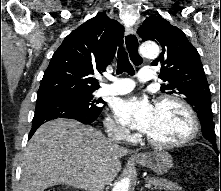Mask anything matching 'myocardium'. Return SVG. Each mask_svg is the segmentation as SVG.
Returning <instances> with one entry per match:
<instances>
[{"label": "myocardium", "instance_id": "f54148a6", "mask_svg": "<svg viewBox=\"0 0 221 191\" xmlns=\"http://www.w3.org/2000/svg\"><path fill=\"white\" fill-rule=\"evenodd\" d=\"M165 102H171L178 106H180L187 114L189 121H190V129L189 132L182 137L181 139L175 140V141H160L156 140L149 135L146 134V140L153 146L162 147V148H175L180 147L183 145H186L187 143L193 141L200 129L199 119L195 112V110L192 108V106L186 102L184 99L171 95V94H164L159 96L155 101V106H159Z\"/></svg>", "mask_w": 221, "mask_h": 191}]
</instances>
